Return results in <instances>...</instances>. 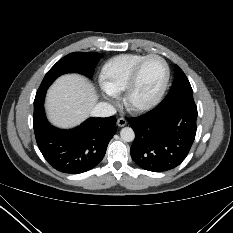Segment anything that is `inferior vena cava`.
I'll list each match as a JSON object with an SVG mask.
<instances>
[{
    "label": "inferior vena cava",
    "instance_id": "1",
    "mask_svg": "<svg viewBox=\"0 0 233 233\" xmlns=\"http://www.w3.org/2000/svg\"><path fill=\"white\" fill-rule=\"evenodd\" d=\"M116 113V109L109 103L99 102L91 111L94 117H109Z\"/></svg>",
    "mask_w": 233,
    "mask_h": 233
}]
</instances>
